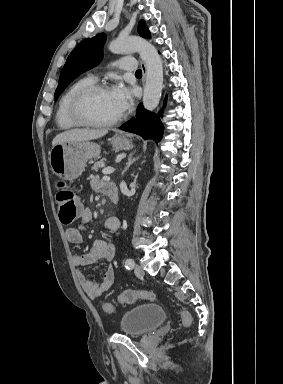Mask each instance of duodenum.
<instances>
[{"instance_id": "obj_1", "label": "duodenum", "mask_w": 283, "mask_h": 384, "mask_svg": "<svg viewBox=\"0 0 283 384\" xmlns=\"http://www.w3.org/2000/svg\"><path fill=\"white\" fill-rule=\"evenodd\" d=\"M103 193L113 202V204H118V189L115 184L107 183L104 187Z\"/></svg>"}]
</instances>
